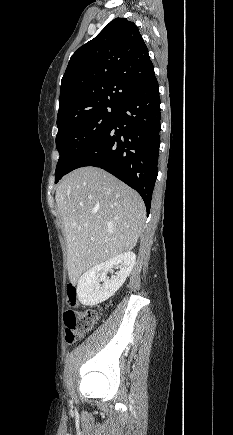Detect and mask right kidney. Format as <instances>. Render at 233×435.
I'll use <instances>...</instances> for the list:
<instances>
[{
  "instance_id": "1",
  "label": "right kidney",
  "mask_w": 233,
  "mask_h": 435,
  "mask_svg": "<svg viewBox=\"0 0 233 435\" xmlns=\"http://www.w3.org/2000/svg\"><path fill=\"white\" fill-rule=\"evenodd\" d=\"M135 261L136 255L129 251L87 270L78 280L76 294L79 302L85 306H95L109 299L123 285ZM112 268H119L120 271L109 279L107 273ZM100 282H103L102 285Z\"/></svg>"
}]
</instances>
